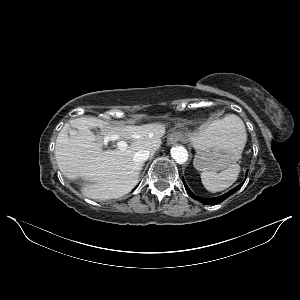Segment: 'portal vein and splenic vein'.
Segmentation results:
<instances>
[{
    "mask_svg": "<svg viewBox=\"0 0 300 300\" xmlns=\"http://www.w3.org/2000/svg\"><path fill=\"white\" fill-rule=\"evenodd\" d=\"M111 138H112V140H114V139H118L119 137L117 135H113ZM117 146H118V149L125 150L128 145L125 141H119L117 143Z\"/></svg>",
    "mask_w": 300,
    "mask_h": 300,
    "instance_id": "18ae733b",
    "label": "portal vein and splenic vein"
}]
</instances>
